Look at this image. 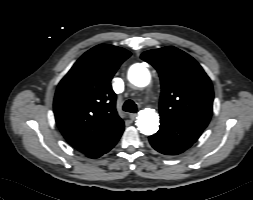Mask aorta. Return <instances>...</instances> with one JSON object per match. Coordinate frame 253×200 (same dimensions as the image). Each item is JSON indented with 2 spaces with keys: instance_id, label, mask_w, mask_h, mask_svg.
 <instances>
[{
  "instance_id": "1",
  "label": "aorta",
  "mask_w": 253,
  "mask_h": 200,
  "mask_svg": "<svg viewBox=\"0 0 253 200\" xmlns=\"http://www.w3.org/2000/svg\"><path fill=\"white\" fill-rule=\"evenodd\" d=\"M129 81L137 87L149 84L151 76L144 64H134L128 71ZM138 130L144 135H153L159 128V115L154 109L146 108L140 111L137 120Z\"/></svg>"
}]
</instances>
